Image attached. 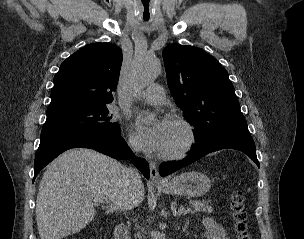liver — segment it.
Returning <instances> with one entry per match:
<instances>
[{
  "label": "liver",
  "mask_w": 304,
  "mask_h": 239,
  "mask_svg": "<svg viewBox=\"0 0 304 239\" xmlns=\"http://www.w3.org/2000/svg\"><path fill=\"white\" fill-rule=\"evenodd\" d=\"M126 167L90 149H71L48 165L39 185L36 221L41 239H61L82 230L95 216L93 201H105L106 213L140 204L142 181L130 189Z\"/></svg>",
  "instance_id": "obj_1"
}]
</instances>
